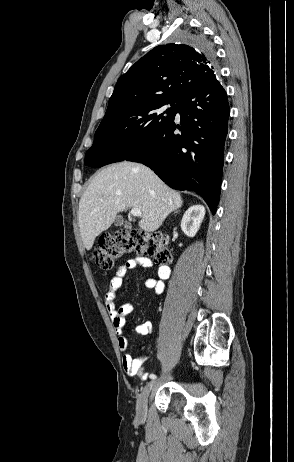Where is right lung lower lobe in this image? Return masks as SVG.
Returning a JSON list of instances; mask_svg holds the SVG:
<instances>
[{
    "mask_svg": "<svg viewBox=\"0 0 294 462\" xmlns=\"http://www.w3.org/2000/svg\"><path fill=\"white\" fill-rule=\"evenodd\" d=\"M177 112L180 124L174 117L124 160L150 167L173 189L197 192L215 214L230 114L226 92L215 78L185 93ZM85 164L97 168L106 161L96 154Z\"/></svg>",
    "mask_w": 294,
    "mask_h": 462,
    "instance_id": "right-lung-lower-lobe-1",
    "label": "right lung lower lobe"
}]
</instances>
